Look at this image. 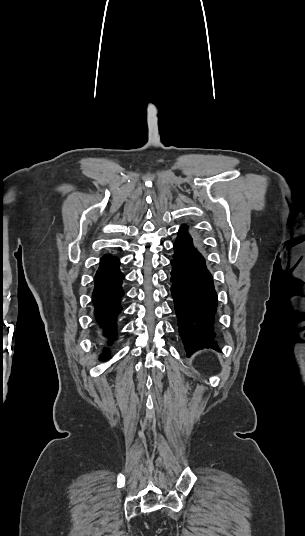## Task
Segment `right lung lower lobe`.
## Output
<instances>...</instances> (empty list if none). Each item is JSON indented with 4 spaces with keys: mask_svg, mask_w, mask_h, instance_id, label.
<instances>
[{
    "mask_svg": "<svg viewBox=\"0 0 305 536\" xmlns=\"http://www.w3.org/2000/svg\"><path fill=\"white\" fill-rule=\"evenodd\" d=\"M123 279L124 274L119 269V259L115 256L104 255L95 275L93 304L97 322L104 328L107 336L115 333L116 318L122 309L120 301L124 295ZM105 355L108 356V353Z\"/></svg>",
    "mask_w": 305,
    "mask_h": 536,
    "instance_id": "1",
    "label": "right lung lower lobe"
}]
</instances>
